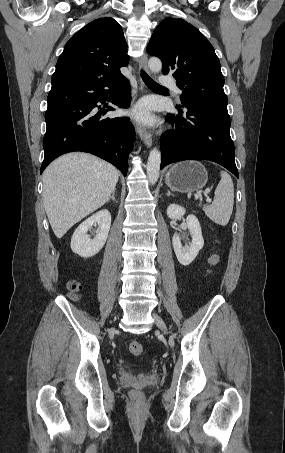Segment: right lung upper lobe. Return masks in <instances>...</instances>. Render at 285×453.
<instances>
[{
  "instance_id": "cb5924a9",
  "label": "right lung upper lobe",
  "mask_w": 285,
  "mask_h": 453,
  "mask_svg": "<svg viewBox=\"0 0 285 453\" xmlns=\"http://www.w3.org/2000/svg\"><path fill=\"white\" fill-rule=\"evenodd\" d=\"M130 57L121 26L112 18H99L80 29L65 45L52 83L117 80Z\"/></svg>"
}]
</instances>
